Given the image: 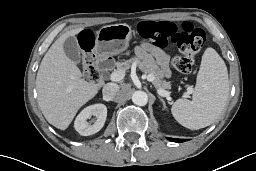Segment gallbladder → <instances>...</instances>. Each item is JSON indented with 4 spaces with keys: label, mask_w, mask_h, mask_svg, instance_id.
<instances>
[{
    "label": "gallbladder",
    "mask_w": 256,
    "mask_h": 171,
    "mask_svg": "<svg viewBox=\"0 0 256 171\" xmlns=\"http://www.w3.org/2000/svg\"><path fill=\"white\" fill-rule=\"evenodd\" d=\"M63 50L66 56L75 64L81 61V50L75 36L68 37L63 43Z\"/></svg>",
    "instance_id": "1"
}]
</instances>
